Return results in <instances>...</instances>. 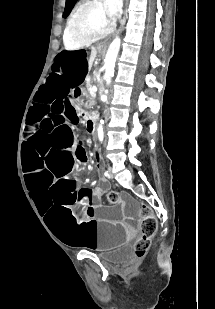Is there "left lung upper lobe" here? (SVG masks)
<instances>
[{
  "mask_svg": "<svg viewBox=\"0 0 215 309\" xmlns=\"http://www.w3.org/2000/svg\"><path fill=\"white\" fill-rule=\"evenodd\" d=\"M74 2H75V0H67L65 12H64V17H66L68 15V13L71 10L72 5H73Z\"/></svg>",
  "mask_w": 215,
  "mask_h": 309,
  "instance_id": "obj_1",
  "label": "left lung upper lobe"
}]
</instances>
